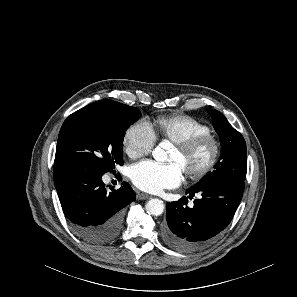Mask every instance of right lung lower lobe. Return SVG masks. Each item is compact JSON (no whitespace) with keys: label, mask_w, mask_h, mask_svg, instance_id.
Returning a JSON list of instances; mask_svg holds the SVG:
<instances>
[{"label":"right lung lower lobe","mask_w":297,"mask_h":297,"mask_svg":"<svg viewBox=\"0 0 297 297\" xmlns=\"http://www.w3.org/2000/svg\"><path fill=\"white\" fill-rule=\"evenodd\" d=\"M102 175L81 166L54 165V183L64 214L81 237L94 243H107L119 235L123 208L135 200L129 183L107 191Z\"/></svg>","instance_id":"98d812e1"}]
</instances>
